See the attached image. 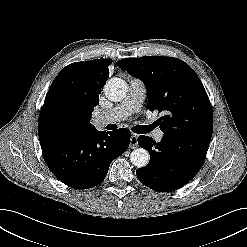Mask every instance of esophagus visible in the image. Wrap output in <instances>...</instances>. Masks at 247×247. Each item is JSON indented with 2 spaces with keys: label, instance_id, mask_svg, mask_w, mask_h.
<instances>
[{
  "label": "esophagus",
  "instance_id": "esophagus-1",
  "mask_svg": "<svg viewBox=\"0 0 247 247\" xmlns=\"http://www.w3.org/2000/svg\"><path fill=\"white\" fill-rule=\"evenodd\" d=\"M138 136L136 134H131L130 137V148L131 149H135L138 146V142H137Z\"/></svg>",
  "mask_w": 247,
  "mask_h": 247
}]
</instances>
